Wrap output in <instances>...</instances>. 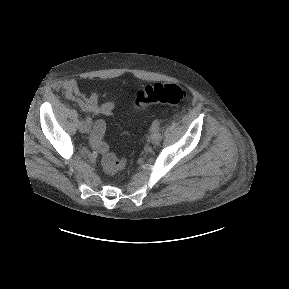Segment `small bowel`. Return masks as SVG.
I'll use <instances>...</instances> for the list:
<instances>
[{"label": "small bowel", "mask_w": 289, "mask_h": 289, "mask_svg": "<svg viewBox=\"0 0 289 289\" xmlns=\"http://www.w3.org/2000/svg\"><path fill=\"white\" fill-rule=\"evenodd\" d=\"M63 90L66 98L77 103L85 112L103 116H111L114 112L115 103L113 101L99 103V95L97 93L94 92L90 95L83 94L77 81L73 79L64 82ZM93 133L94 128L91 136H93Z\"/></svg>", "instance_id": "small-bowel-1"}]
</instances>
